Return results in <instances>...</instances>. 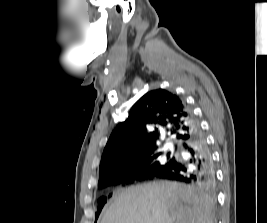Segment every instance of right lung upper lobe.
Returning a JSON list of instances; mask_svg holds the SVG:
<instances>
[{
    "instance_id": "obj_1",
    "label": "right lung upper lobe",
    "mask_w": 267,
    "mask_h": 223,
    "mask_svg": "<svg viewBox=\"0 0 267 223\" xmlns=\"http://www.w3.org/2000/svg\"><path fill=\"white\" fill-rule=\"evenodd\" d=\"M162 133L183 145L197 133V123L178 95L157 89L142 96L128 119L112 132L101 158L99 179L119 168L131 175L136 160L157 151Z\"/></svg>"
}]
</instances>
